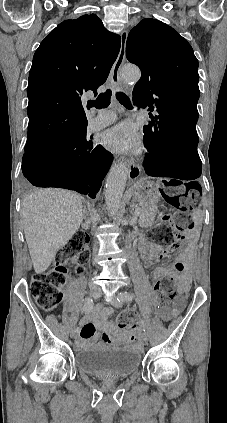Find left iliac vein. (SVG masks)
<instances>
[{
	"instance_id": "4c4485c4",
	"label": "left iliac vein",
	"mask_w": 227,
	"mask_h": 423,
	"mask_svg": "<svg viewBox=\"0 0 227 423\" xmlns=\"http://www.w3.org/2000/svg\"><path fill=\"white\" fill-rule=\"evenodd\" d=\"M123 295H124V293H119L117 295V300L118 301H116V299H111V302L113 303V305H115L116 307H121L122 306V303H123V301L121 300V298H122ZM142 338H143V340L145 342H147L149 340L148 333L147 332H144L142 334Z\"/></svg>"
}]
</instances>
